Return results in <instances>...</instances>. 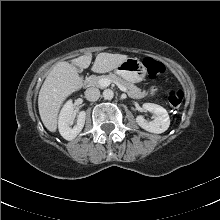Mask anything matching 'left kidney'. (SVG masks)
<instances>
[{"label": "left kidney", "mask_w": 220, "mask_h": 220, "mask_svg": "<svg viewBox=\"0 0 220 220\" xmlns=\"http://www.w3.org/2000/svg\"><path fill=\"white\" fill-rule=\"evenodd\" d=\"M143 109L154 114V119L146 120L143 116H137V124L144 130L160 134L165 132L170 125V118L165 108L154 103H144Z\"/></svg>", "instance_id": "5707ae66"}]
</instances>
